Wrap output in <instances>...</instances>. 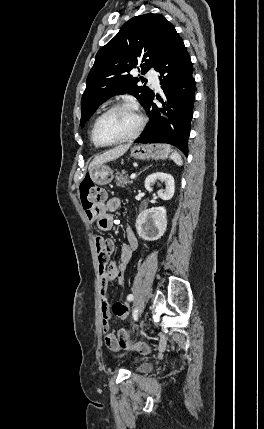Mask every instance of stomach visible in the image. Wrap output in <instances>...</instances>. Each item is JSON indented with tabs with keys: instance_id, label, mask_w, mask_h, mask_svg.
Masks as SVG:
<instances>
[{
	"instance_id": "obj_1",
	"label": "stomach",
	"mask_w": 264,
	"mask_h": 429,
	"mask_svg": "<svg viewBox=\"0 0 264 429\" xmlns=\"http://www.w3.org/2000/svg\"><path fill=\"white\" fill-rule=\"evenodd\" d=\"M171 152L167 144H140L131 149V156L137 160L165 159ZM93 183L98 185L108 184L113 179V170L105 163L91 168L88 172Z\"/></svg>"
}]
</instances>
